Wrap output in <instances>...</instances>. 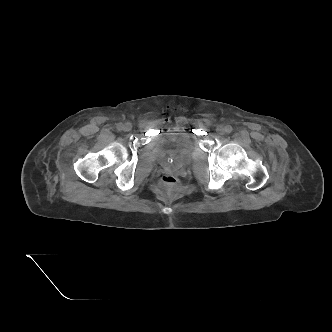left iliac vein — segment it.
<instances>
[{
    "label": "left iliac vein",
    "mask_w": 332,
    "mask_h": 332,
    "mask_svg": "<svg viewBox=\"0 0 332 332\" xmlns=\"http://www.w3.org/2000/svg\"><path fill=\"white\" fill-rule=\"evenodd\" d=\"M216 131H217L219 134L223 135V134H225L226 129H225V127H224L223 125H218L217 128H216Z\"/></svg>",
    "instance_id": "left-iliac-vein-1"
}]
</instances>
